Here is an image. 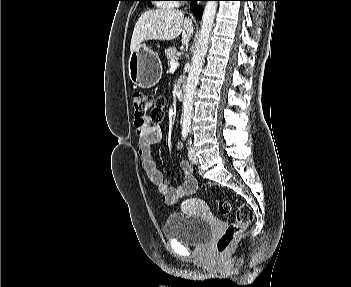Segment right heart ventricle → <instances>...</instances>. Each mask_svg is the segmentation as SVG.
<instances>
[{
    "mask_svg": "<svg viewBox=\"0 0 351 287\" xmlns=\"http://www.w3.org/2000/svg\"><path fill=\"white\" fill-rule=\"evenodd\" d=\"M162 7H168L167 5H162Z\"/></svg>",
    "mask_w": 351,
    "mask_h": 287,
    "instance_id": "e07e8e85",
    "label": "right heart ventricle"
}]
</instances>
